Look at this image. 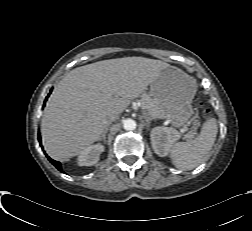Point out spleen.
Masks as SVG:
<instances>
[{"mask_svg": "<svg viewBox=\"0 0 252 231\" xmlns=\"http://www.w3.org/2000/svg\"><path fill=\"white\" fill-rule=\"evenodd\" d=\"M218 133L217 121L209 118L202 125L200 135L186 142H177L171 146L170 158L174 166L182 170H192L208 156Z\"/></svg>", "mask_w": 252, "mask_h": 231, "instance_id": "obj_1", "label": "spleen"}]
</instances>
